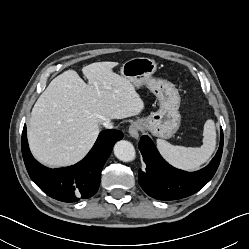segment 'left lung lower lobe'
<instances>
[{
  "label": "left lung lower lobe",
  "mask_w": 249,
  "mask_h": 249,
  "mask_svg": "<svg viewBox=\"0 0 249 249\" xmlns=\"http://www.w3.org/2000/svg\"><path fill=\"white\" fill-rule=\"evenodd\" d=\"M139 149L146 163V170L139 171L142 189L158 200H176L190 196L203 188L215 174L222 156L223 131L220 146L212 161L196 172H186L170 166L158 153L148 136H142Z\"/></svg>",
  "instance_id": "obj_1"
}]
</instances>
